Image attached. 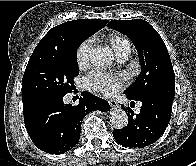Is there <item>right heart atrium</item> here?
<instances>
[{
	"label": "right heart atrium",
	"instance_id": "d8ad5b80",
	"mask_svg": "<svg viewBox=\"0 0 196 166\" xmlns=\"http://www.w3.org/2000/svg\"><path fill=\"white\" fill-rule=\"evenodd\" d=\"M91 47H92V40L91 39L84 40L78 46L77 51H76V60H77V64L80 67H83L88 64Z\"/></svg>",
	"mask_w": 196,
	"mask_h": 166
}]
</instances>
